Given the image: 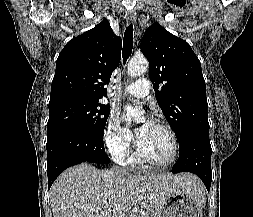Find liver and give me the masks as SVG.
I'll use <instances>...</instances> for the list:
<instances>
[{"mask_svg": "<svg viewBox=\"0 0 253 217\" xmlns=\"http://www.w3.org/2000/svg\"><path fill=\"white\" fill-rule=\"evenodd\" d=\"M179 190L200 198L205 193L201 180L190 173L136 176L84 163L68 168L55 180L50 202L53 217H125L134 206L158 210Z\"/></svg>", "mask_w": 253, "mask_h": 217, "instance_id": "liver-1", "label": "liver"}]
</instances>
